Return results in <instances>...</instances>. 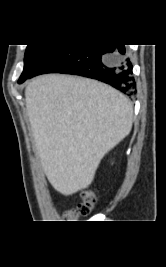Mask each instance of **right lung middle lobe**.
<instances>
[{"label":"right lung middle lobe","instance_id":"right-lung-middle-lobe-1","mask_svg":"<svg viewBox=\"0 0 166 267\" xmlns=\"http://www.w3.org/2000/svg\"><path fill=\"white\" fill-rule=\"evenodd\" d=\"M52 44L47 45H28L25 57H24V69L19 78L18 83L24 82L28 76L32 73L41 59L46 55V53L53 47Z\"/></svg>","mask_w":166,"mask_h":267}]
</instances>
